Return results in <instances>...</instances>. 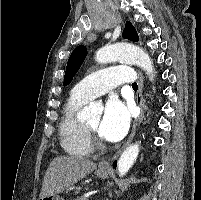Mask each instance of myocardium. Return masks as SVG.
<instances>
[{"mask_svg":"<svg viewBox=\"0 0 201 200\" xmlns=\"http://www.w3.org/2000/svg\"><path fill=\"white\" fill-rule=\"evenodd\" d=\"M84 129L91 147L100 148L103 143L100 137L98 136L97 132L91 129L86 123H84Z\"/></svg>","mask_w":201,"mask_h":200,"instance_id":"obj_1","label":"myocardium"}]
</instances>
